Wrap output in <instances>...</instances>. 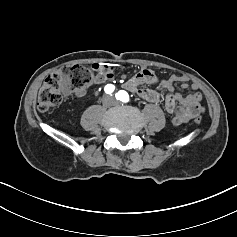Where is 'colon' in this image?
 I'll return each mask as SVG.
<instances>
[{
  "instance_id": "colon-1",
  "label": "colon",
  "mask_w": 237,
  "mask_h": 237,
  "mask_svg": "<svg viewBox=\"0 0 237 237\" xmlns=\"http://www.w3.org/2000/svg\"><path fill=\"white\" fill-rule=\"evenodd\" d=\"M113 67L106 63H97L87 68L82 65H67L49 74L38 93L37 108L45 112L59 105L63 100L65 89L78 91L85 89L95 80L99 73L112 71ZM202 121L200 116L194 119L196 124Z\"/></svg>"
}]
</instances>
